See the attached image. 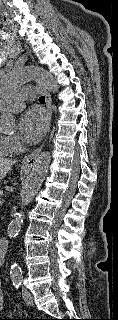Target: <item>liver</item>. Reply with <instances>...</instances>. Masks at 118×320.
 I'll return each instance as SVG.
<instances>
[{
	"label": "liver",
	"mask_w": 118,
	"mask_h": 320,
	"mask_svg": "<svg viewBox=\"0 0 118 320\" xmlns=\"http://www.w3.org/2000/svg\"><path fill=\"white\" fill-rule=\"evenodd\" d=\"M16 160L9 158H1L0 157V180L3 179L8 171L11 169L12 165H14Z\"/></svg>",
	"instance_id": "liver-1"
}]
</instances>
